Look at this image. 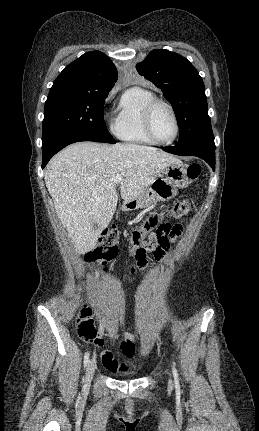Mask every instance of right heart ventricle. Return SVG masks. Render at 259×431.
I'll return each mask as SVG.
<instances>
[{
	"label": "right heart ventricle",
	"mask_w": 259,
	"mask_h": 431,
	"mask_svg": "<svg viewBox=\"0 0 259 431\" xmlns=\"http://www.w3.org/2000/svg\"><path fill=\"white\" fill-rule=\"evenodd\" d=\"M154 98L153 92L140 87L129 88L123 93L113 124V132L118 139L134 145L154 144L147 136L143 124L144 108Z\"/></svg>",
	"instance_id": "e07e8e85"
}]
</instances>
